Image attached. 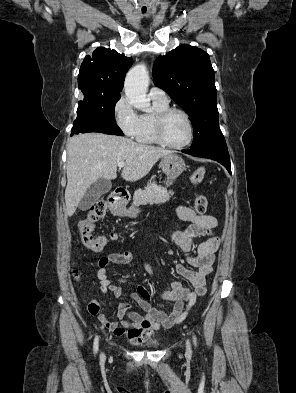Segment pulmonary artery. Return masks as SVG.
Returning <instances> with one entry per match:
<instances>
[{
  "label": "pulmonary artery",
  "mask_w": 296,
  "mask_h": 393,
  "mask_svg": "<svg viewBox=\"0 0 296 393\" xmlns=\"http://www.w3.org/2000/svg\"><path fill=\"white\" fill-rule=\"evenodd\" d=\"M151 100L158 101L164 104L169 103V98L166 92L158 87H152L149 91Z\"/></svg>",
  "instance_id": "e3ab8cb5"
}]
</instances>
